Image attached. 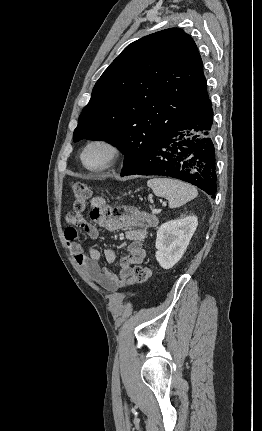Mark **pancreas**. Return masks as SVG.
Masks as SVG:
<instances>
[{"label":"pancreas","instance_id":"obj_1","mask_svg":"<svg viewBox=\"0 0 262 431\" xmlns=\"http://www.w3.org/2000/svg\"><path fill=\"white\" fill-rule=\"evenodd\" d=\"M151 217H148L147 219H146V221L148 222V223H151V219H150Z\"/></svg>","mask_w":262,"mask_h":431}]
</instances>
